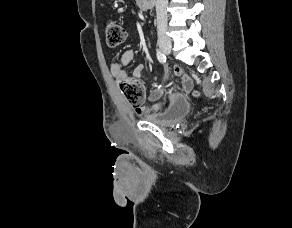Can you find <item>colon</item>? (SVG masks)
Segmentation results:
<instances>
[{
  "label": "colon",
  "instance_id": "colon-1",
  "mask_svg": "<svg viewBox=\"0 0 292 228\" xmlns=\"http://www.w3.org/2000/svg\"><path fill=\"white\" fill-rule=\"evenodd\" d=\"M106 41L110 46H118L126 40V30L116 21H108L105 27ZM119 87L127 102L133 107H140L144 100V90L135 78L118 80ZM199 93L195 92V96Z\"/></svg>",
  "mask_w": 292,
  "mask_h": 228
}]
</instances>
